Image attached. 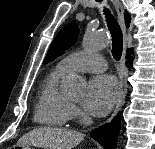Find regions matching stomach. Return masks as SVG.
Segmentation results:
<instances>
[{
  "mask_svg": "<svg viewBox=\"0 0 155 149\" xmlns=\"http://www.w3.org/2000/svg\"><path fill=\"white\" fill-rule=\"evenodd\" d=\"M16 149H32L31 145L28 144H20L15 146Z\"/></svg>",
  "mask_w": 155,
  "mask_h": 149,
  "instance_id": "stomach-1",
  "label": "stomach"
}]
</instances>
